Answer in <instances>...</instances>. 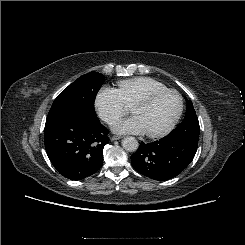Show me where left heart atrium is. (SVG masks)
<instances>
[{"mask_svg":"<svg viewBox=\"0 0 245 245\" xmlns=\"http://www.w3.org/2000/svg\"><path fill=\"white\" fill-rule=\"evenodd\" d=\"M114 130L119 133H144V128L137 116L118 121Z\"/></svg>","mask_w":245,"mask_h":245,"instance_id":"left-heart-atrium-1","label":"left heart atrium"}]
</instances>
